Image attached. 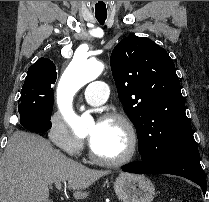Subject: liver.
Here are the masks:
<instances>
[{
  "label": "liver",
  "instance_id": "6515ba94",
  "mask_svg": "<svg viewBox=\"0 0 209 202\" xmlns=\"http://www.w3.org/2000/svg\"><path fill=\"white\" fill-rule=\"evenodd\" d=\"M107 174L69 159L39 135L17 131L0 160V202H44L49 186L61 181L68 182L75 199H84L85 190Z\"/></svg>",
  "mask_w": 209,
  "mask_h": 202
}]
</instances>
